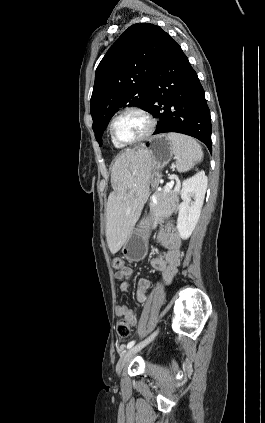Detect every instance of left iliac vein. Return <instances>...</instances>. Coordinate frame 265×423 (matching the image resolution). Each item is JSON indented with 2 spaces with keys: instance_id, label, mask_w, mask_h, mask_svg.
Instances as JSON below:
<instances>
[{
  "instance_id": "1",
  "label": "left iliac vein",
  "mask_w": 265,
  "mask_h": 423,
  "mask_svg": "<svg viewBox=\"0 0 265 423\" xmlns=\"http://www.w3.org/2000/svg\"><path fill=\"white\" fill-rule=\"evenodd\" d=\"M159 330H156L153 334H151L147 339L140 342L139 344L129 348L126 350L120 357L117 365H116V372L118 374L121 373L122 369L125 367V365L131 360V358L138 353L142 348H144L146 345H148L151 341L155 339V337L158 335Z\"/></svg>"
}]
</instances>
